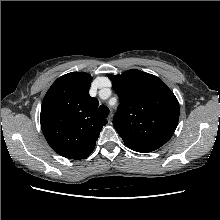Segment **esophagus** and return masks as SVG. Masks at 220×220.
<instances>
[{
    "mask_svg": "<svg viewBox=\"0 0 220 220\" xmlns=\"http://www.w3.org/2000/svg\"><path fill=\"white\" fill-rule=\"evenodd\" d=\"M112 117H113L112 114H110V115L107 117V121H108V123H111Z\"/></svg>",
    "mask_w": 220,
    "mask_h": 220,
    "instance_id": "1",
    "label": "esophagus"
}]
</instances>
